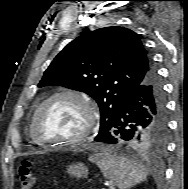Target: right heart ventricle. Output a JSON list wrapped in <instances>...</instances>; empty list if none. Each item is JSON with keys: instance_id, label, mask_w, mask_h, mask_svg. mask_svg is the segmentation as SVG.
Here are the masks:
<instances>
[{"instance_id": "1", "label": "right heart ventricle", "mask_w": 188, "mask_h": 189, "mask_svg": "<svg viewBox=\"0 0 188 189\" xmlns=\"http://www.w3.org/2000/svg\"><path fill=\"white\" fill-rule=\"evenodd\" d=\"M34 116V115H33ZM32 120H33V117H32V119H31V122H30V135H31V137H32V134H31V124H32ZM33 139V138H32Z\"/></svg>"}]
</instances>
